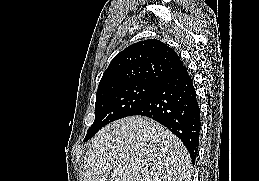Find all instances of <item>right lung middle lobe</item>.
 <instances>
[{"label":"right lung middle lobe","mask_w":259,"mask_h":181,"mask_svg":"<svg viewBox=\"0 0 259 181\" xmlns=\"http://www.w3.org/2000/svg\"><path fill=\"white\" fill-rule=\"evenodd\" d=\"M155 83H134L103 90L96 94L95 120L84 141L94 136L108 123L131 116L153 94Z\"/></svg>","instance_id":"dd1d6c3e"}]
</instances>
